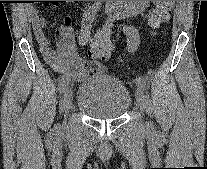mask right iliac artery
Here are the masks:
<instances>
[{
    "label": "right iliac artery",
    "mask_w": 207,
    "mask_h": 169,
    "mask_svg": "<svg viewBox=\"0 0 207 169\" xmlns=\"http://www.w3.org/2000/svg\"><path fill=\"white\" fill-rule=\"evenodd\" d=\"M97 11H98V6L93 5L84 14V18L82 21V27H81V31L79 34V41L82 44H86L90 38L92 24L95 19V15ZM68 83H69V78L67 76H62L59 81V91L60 92L63 91L66 88Z\"/></svg>",
    "instance_id": "1"
}]
</instances>
